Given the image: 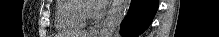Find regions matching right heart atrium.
Masks as SVG:
<instances>
[{
  "mask_svg": "<svg viewBox=\"0 0 219 37\" xmlns=\"http://www.w3.org/2000/svg\"><path fill=\"white\" fill-rule=\"evenodd\" d=\"M90 13H91V10H90V9H87V11H86V16H89Z\"/></svg>",
  "mask_w": 219,
  "mask_h": 37,
  "instance_id": "obj_1",
  "label": "right heart atrium"
}]
</instances>
